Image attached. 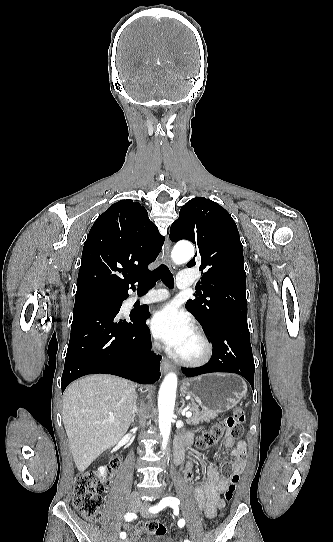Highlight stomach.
<instances>
[{"label": "stomach", "mask_w": 333, "mask_h": 542, "mask_svg": "<svg viewBox=\"0 0 333 542\" xmlns=\"http://www.w3.org/2000/svg\"><path fill=\"white\" fill-rule=\"evenodd\" d=\"M242 382L236 374H203L184 380L181 392L192 396L203 410L228 412L235 408L246 394Z\"/></svg>", "instance_id": "0dacf381"}]
</instances>
